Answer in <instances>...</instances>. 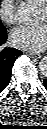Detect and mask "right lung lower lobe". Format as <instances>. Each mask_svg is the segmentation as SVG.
Masks as SVG:
<instances>
[{"instance_id":"98d812e1","label":"right lung lower lobe","mask_w":47,"mask_h":129,"mask_svg":"<svg viewBox=\"0 0 47 129\" xmlns=\"http://www.w3.org/2000/svg\"><path fill=\"white\" fill-rule=\"evenodd\" d=\"M6 39L7 33L5 31L0 34V45L3 44ZM21 54L22 52L15 48H4L0 52V92L8 85L14 61Z\"/></svg>"}]
</instances>
